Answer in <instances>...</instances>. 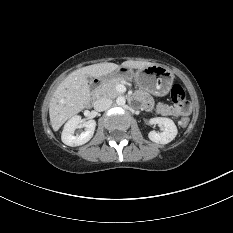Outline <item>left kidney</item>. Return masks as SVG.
<instances>
[{"mask_svg":"<svg viewBox=\"0 0 233 233\" xmlns=\"http://www.w3.org/2000/svg\"><path fill=\"white\" fill-rule=\"evenodd\" d=\"M150 124H158L164 127L163 132L157 133L150 131L148 137L151 141L160 144H167L171 142L177 135L178 130L173 120L164 117H156L150 119Z\"/></svg>","mask_w":233,"mask_h":233,"instance_id":"1","label":"left kidney"}]
</instances>
